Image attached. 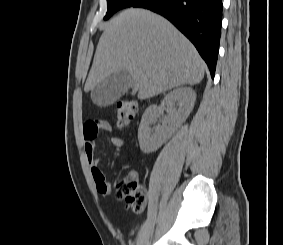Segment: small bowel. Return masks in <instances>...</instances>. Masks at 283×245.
I'll return each instance as SVG.
<instances>
[{
    "label": "small bowel",
    "mask_w": 283,
    "mask_h": 245,
    "mask_svg": "<svg viewBox=\"0 0 283 245\" xmlns=\"http://www.w3.org/2000/svg\"><path fill=\"white\" fill-rule=\"evenodd\" d=\"M100 131L110 132L111 126L104 120H89L83 126V137L85 143V152L87 160L91 166V174L96 185L97 191L101 195H109L111 193V185L107 181L105 175L99 167V159L95 156L96 137ZM116 147L124 146L123 138L115 136L111 139ZM135 178V175H132Z\"/></svg>",
    "instance_id": "1"
}]
</instances>
